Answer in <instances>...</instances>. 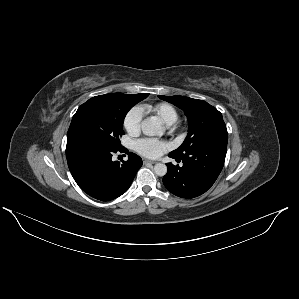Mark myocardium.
Returning <instances> with one entry per match:
<instances>
[{
  "mask_svg": "<svg viewBox=\"0 0 299 299\" xmlns=\"http://www.w3.org/2000/svg\"><path fill=\"white\" fill-rule=\"evenodd\" d=\"M179 128H180V125L177 123H173L172 125L169 126V129L171 132H176L179 130Z\"/></svg>",
  "mask_w": 299,
  "mask_h": 299,
  "instance_id": "obj_1",
  "label": "myocardium"
}]
</instances>
